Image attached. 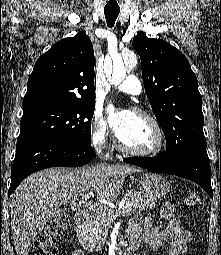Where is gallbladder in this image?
Instances as JSON below:
<instances>
[{
  "label": "gallbladder",
  "instance_id": "gallbladder-1",
  "mask_svg": "<svg viewBox=\"0 0 221 255\" xmlns=\"http://www.w3.org/2000/svg\"><path fill=\"white\" fill-rule=\"evenodd\" d=\"M67 213H68V211L66 209H58L56 215L63 216V215H66Z\"/></svg>",
  "mask_w": 221,
  "mask_h": 255
}]
</instances>
